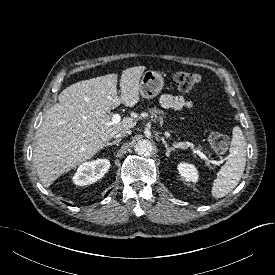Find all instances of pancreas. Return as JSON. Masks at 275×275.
<instances>
[{
	"instance_id": "pancreas-1",
	"label": "pancreas",
	"mask_w": 275,
	"mask_h": 275,
	"mask_svg": "<svg viewBox=\"0 0 275 275\" xmlns=\"http://www.w3.org/2000/svg\"><path fill=\"white\" fill-rule=\"evenodd\" d=\"M149 112L151 113V115L153 116V117H155L157 120H159V121H163V118H162V116H160V115H162V114H164V112L162 111V110H158V109H156V108H151V109H149ZM159 115V116H158Z\"/></svg>"
}]
</instances>
